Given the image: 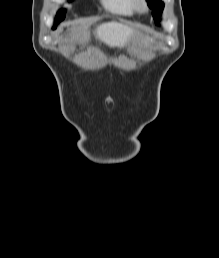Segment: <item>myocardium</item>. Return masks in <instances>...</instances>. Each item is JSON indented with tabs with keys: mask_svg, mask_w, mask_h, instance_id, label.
Listing matches in <instances>:
<instances>
[{
	"mask_svg": "<svg viewBox=\"0 0 219 258\" xmlns=\"http://www.w3.org/2000/svg\"><path fill=\"white\" fill-rule=\"evenodd\" d=\"M138 7L142 12H147L149 10V5L146 0H138Z\"/></svg>",
	"mask_w": 219,
	"mask_h": 258,
	"instance_id": "obj_1",
	"label": "myocardium"
}]
</instances>
